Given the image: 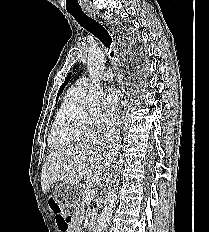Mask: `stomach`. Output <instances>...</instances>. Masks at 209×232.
<instances>
[{
    "mask_svg": "<svg viewBox=\"0 0 209 232\" xmlns=\"http://www.w3.org/2000/svg\"><path fill=\"white\" fill-rule=\"evenodd\" d=\"M84 186H77V182H60V186L56 187L54 201L60 206V209L72 207L77 203V199H81Z\"/></svg>",
    "mask_w": 209,
    "mask_h": 232,
    "instance_id": "0dacf381",
    "label": "stomach"
}]
</instances>
